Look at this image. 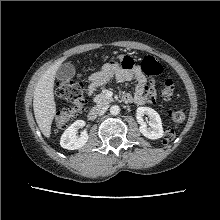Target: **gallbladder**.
<instances>
[{"label": "gallbladder", "mask_w": 220, "mask_h": 220, "mask_svg": "<svg viewBox=\"0 0 220 220\" xmlns=\"http://www.w3.org/2000/svg\"><path fill=\"white\" fill-rule=\"evenodd\" d=\"M75 75V67L71 63H64L60 65L56 72V78L58 80H71Z\"/></svg>", "instance_id": "gallbladder-1"}]
</instances>
